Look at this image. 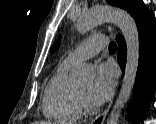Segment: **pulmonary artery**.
<instances>
[{
  "instance_id": "e3ab8cb5",
  "label": "pulmonary artery",
  "mask_w": 156,
  "mask_h": 124,
  "mask_svg": "<svg viewBox=\"0 0 156 124\" xmlns=\"http://www.w3.org/2000/svg\"><path fill=\"white\" fill-rule=\"evenodd\" d=\"M106 44L107 37L104 35L90 37L69 53L63 63L67 65H74L85 61L97 55L106 46Z\"/></svg>"
}]
</instances>
